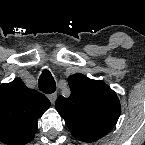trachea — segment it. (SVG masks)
Returning <instances> with one entry per match:
<instances>
[{
	"label": "trachea",
	"instance_id": "1",
	"mask_svg": "<svg viewBox=\"0 0 145 145\" xmlns=\"http://www.w3.org/2000/svg\"><path fill=\"white\" fill-rule=\"evenodd\" d=\"M38 87L42 92L51 94L56 90V83L50 73H44L39 78Z\"/></svg>",
	"mask_w": 145,
	"mask_h": 145
}]
</instances>
